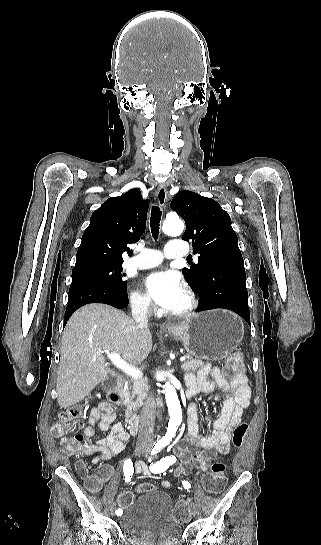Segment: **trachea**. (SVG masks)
<instances>
[{"label":"trachea","mask_w":321,"mask_h":545,"mask_svg":"<svg viewBox=\"0 0 321 545\" xmlns=\"http://www.w3.org/2000/svg\"><path fill=\"white\" fill-rule=\"evenodd\" d=\"M161 216H162L161 209L157 206H153L151 210V217H150V228H151V232H152V236L154 240L158 239Z\"/></svg>","instance_id":"trachea-1"}]
</instances>
